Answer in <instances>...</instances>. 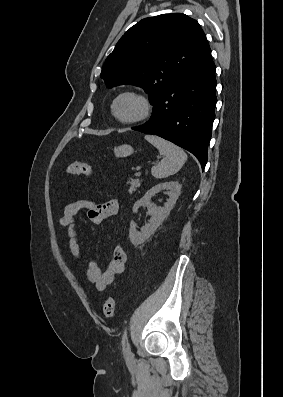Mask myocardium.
Here are the masks:
<instances>
[{
  "mask_svg": "<svg viewBox=\"0 0 283 397\" xmlns=\"http://www.w3.org/2000/svg\"><path fill=\"white\" fill-rule=\"evenodd\" d=\"M124 96H133L140 101V103L142 105V111L137 117L132 118V119H122L117 115L116 104L119 101V99H121ZM152 109H153V106H152L150 99L144 93L137 91V90H126V91L119 93L118 95L115 96V98L113 99L112 104H111V112H112L113 117L118 122H120L122 124H126V125L137 124V123H140V122L146 120L151 115Z\"/></svg>",
  "mask_w": 283,
  "mask_h": 397,
  "instance_id": "obj_1",
  "label": "myocardium"
}]
</instances>
